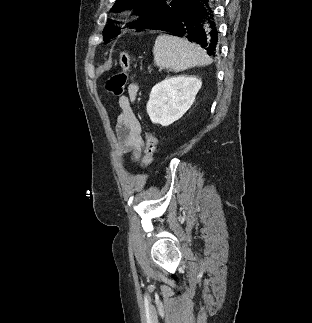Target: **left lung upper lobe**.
I'll return each instance as SVG.
<instances>
[{
	"instance_id": "left-lung-upper-lobe-1",
	"label": "left lung upper lobe",
	"mask_w": 312,
	"mask_h": 323,
	"mask_svg": "<svg viewBox=\"0 0 312 323\" xmlns=\"http://www.w3.org/2000/svg\"><path fill=\"white\" fill-rule=\"evenodd\" d=\"M174 0H116L112 10L119 12L134 6L135 10L141 12V17L131 23V28H137V31L154 29L166 15L171 11L170 5ZM112 21H109L111 23ZM120 31L108 24L103 30L104 40L107 41L117 36Z\"/></svg>"
}]
</instances>
